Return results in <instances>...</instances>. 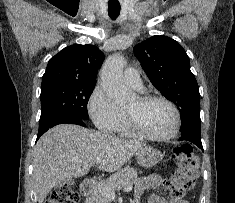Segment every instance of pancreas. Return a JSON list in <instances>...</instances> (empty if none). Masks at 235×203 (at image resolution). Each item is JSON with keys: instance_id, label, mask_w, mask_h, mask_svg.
Wrapping results in <instances>:
<instances>
[{"instance_id": "obj_1", "label": "pancreas", "mask_w": 235, "mask_h": 203, "mask_svg": "<svg viewBox=\"0 0 235 203\" xmlns=\"http://www.w3.org/2000/svg\"><path fill=\"white\" fill-rule=\"evenodd\" d=\"M138 177V172L135 168L126 167L115 174H113L106 181L101 182L95 187L91 196L88 199V203H112L104 193V188L117 189L121 187L132 186Z\"/></svg>"}]
</instances>
